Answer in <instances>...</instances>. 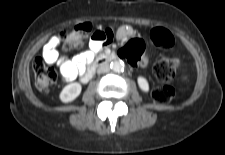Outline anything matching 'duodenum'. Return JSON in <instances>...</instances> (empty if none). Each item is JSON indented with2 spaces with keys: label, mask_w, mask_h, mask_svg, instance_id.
Wrapping results in <instances>:
<instances>
[{
  "label": "duodenum",
  "mask_w": 225,
  "mask_h": 155,
  "mask_svg": "<svg viewBox=\"0 0 225 155\" xmlns=\"http://www.w3.org/2000/svg\"><path fill=\"white\" fill-rule=\"evenodd\" d=\"M116 59V54L113 53L100 55L99 57H97L94 63L86 70L85 74L82 77V81L84 83L88 82L93 77L95 70L98 66L112 62Z\"/></svg>",
  "instance_id": "1"
}]
</instances>
